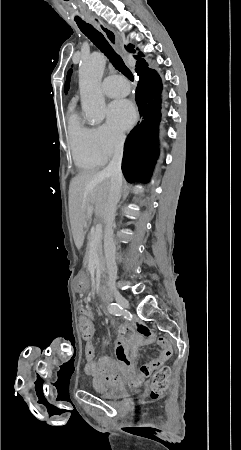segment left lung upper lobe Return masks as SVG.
Segmentation results:
<instances>
[{
	"label": "left lung upper lobe",
	"mask_w": 241,
	"mask_h": 450,
	"mask_svg": "<svg viewBox=\"0 0 241 450\" xmlns=\"http://www.w3.org/2000/svg\"><path fill=\"white\" fill-rule=\"evenodd\" d=\"M71 73H72V69H70L67 74V81L65 83V93H67V90L69 89V81H70Z\"/></svg>",
	"instance_id": "5c2ea615"
}]
</instances>
